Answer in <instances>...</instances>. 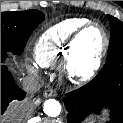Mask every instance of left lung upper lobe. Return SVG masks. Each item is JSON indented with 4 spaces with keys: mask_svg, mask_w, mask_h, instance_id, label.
Segmentation results:
<instances>
[{
    "mask_svg": "<svg viewBox=\"0 0 123 123\" xmlns=\"http://www.w3.org/2000/svg\"><path fill=\"white\" fill-rule=\"evenodd\" d=\"M111 26L110 44L108 48L107 61L101 73L107 77L123 72V23L108 15Z\"/></svg>",
    "mask_w": 123,
    "mask_h": 123,
    "instance_id": "obj_1",
    "label": "left lung upper lobe"
}]
</instances>
